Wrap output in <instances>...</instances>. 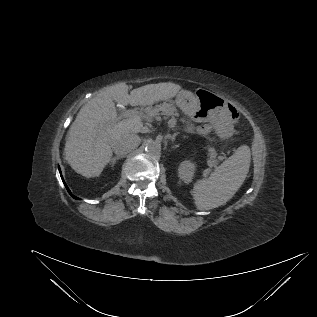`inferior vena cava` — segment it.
Returning a JSON list of instances; mask_svg holds the SVG:
<instances>
[{"label": "inferior vena cava", "instance_id": "602c4592", "mask_svg": "<svg viewBox=\"0 0 317 317\" xmlns=\"http://www.w3.org/2000/svg\"><path fill=\"white\" fill-rule=\"evenodd\" d=\"M140 138L137 135H127L112 144L113 151L119 156H125L130 151L137 148Z\"/></svg>", "mask_w": 317, "mask_h": 317}]
</instances>
